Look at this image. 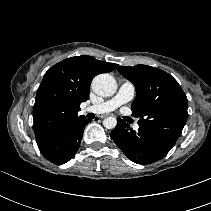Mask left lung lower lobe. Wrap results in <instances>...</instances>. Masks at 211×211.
<instances>
[{
  "label": "left lung lower lobe",
  "instance_id": "obj_1",
  "mask_svg": "<svg viewBox=\"0 0 211 211\" xmlns=\"http://www.w3.org/2000/svg\"><path fill=\"white\" fill-rule=\"evenodd\" d=\"M111 132V138L128 159L137 164H150L167 155L173 147L162 141L152 132L139 128L133 131L122 119Z\"/></svg>",
  "mask_w": 211,
  "mask_h": 211
}]
</instances>
